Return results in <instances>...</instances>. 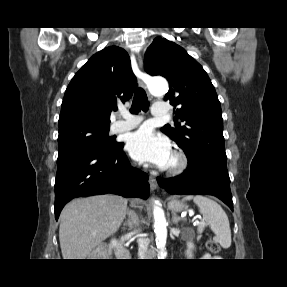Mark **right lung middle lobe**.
I'll return each instance as SVG.
<instances>
[{
	"instance_id": "obj_1",
	"label": "right lung middle lobe",
	"mask_w": 287,
	"mask_h": 287,
	"mask_svg": "<svg viewBox=\"0 0 287 287\" xmlns=\"http://www.w3.org/2000/svg\"><path fill=\"white\" fill-rule=\"evenodd\" d=\"M109 125L76 122L59 127L58 153L73 149L113 152L120 143L109 134Z\"/></svg>"
}]
</instances>
